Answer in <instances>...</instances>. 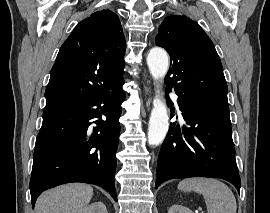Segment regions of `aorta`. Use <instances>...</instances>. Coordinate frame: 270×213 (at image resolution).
Returning a JSON list of instances; mask_svg holds the SVG:
<instances>
[{"instance_id": "1", "label": "aorta", "mask_w": 270, "mask_h": 213, "mask_svg": "<svg viewBox=\"0 0 270 213\" xmlns=\"http://www.w3.org/2000/svg\"><path fill=\"white\" fill-rule=\"evenodd\" d=\"M147 64L155 81L162 80L169 67V59L165 50L153 48L147 56ZM157 93L159 91L157 90ZM169 128V117L166 104L159 95L153 100V108L148 125V143L152 146L161 144Z\"/></svg>"}]
</instances>
